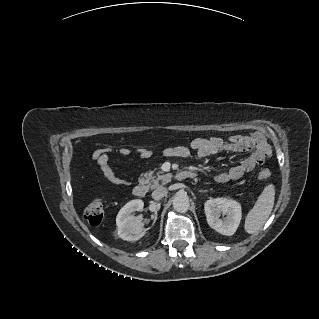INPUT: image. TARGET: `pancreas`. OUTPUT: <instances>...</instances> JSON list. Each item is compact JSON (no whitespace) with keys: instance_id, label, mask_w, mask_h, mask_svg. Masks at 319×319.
Masks as SVG:
<instances>
[{"instance_id":"pancreas-1","label":"pancreas","mask_w":319,"mask_h":319,"mask_svg":"<svg viewBox=\"0 0 319 319\" xmlns=\"http://www.w3.org/2000/svg\"><path fill=\"white\" fill-rule=\"evenodd\" d=\"M145 178H146L145 184L149 188L155 189L170 182L171 175L162 174V172H157V173L148 172L145 174Z\"/></svg>"}]
</instances>
